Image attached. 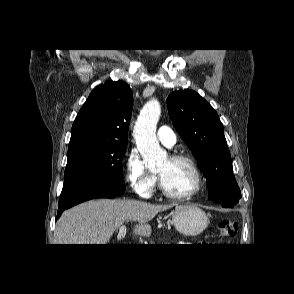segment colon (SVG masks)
<instances>
[{"instance_id": "obj_1", "label": "colon", "mask_w": 294, "mask_h": 294, "mask_svg": "<svg viewBox=\"0 0 294 294\" xmlns=\"http://www.w3.org/2000/svg\"><path fill=\"white\" fill-rule=\"evenodd\" d=\"M238 224L234 220L224 219L217 222L219 233L225 237H232L237 232Z\"/></svg>"}]
</instances>
